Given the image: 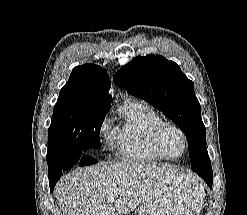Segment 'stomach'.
Masks as SVG:
<instances>
[{"label":"stomach","instance_id":"1","mask_svg":"<svg viewBox=\"0 0 247 215\" xmlns=\"http://www.w3.org/2000/svg\"><path fill=\"white\" fill-rule=\"evenodd\" d=\"M205 198L203 185L192 175H179L144 201L138 215H199Z\"/></svg>","mask_w":247,"mask_h":215}]
</instances>
